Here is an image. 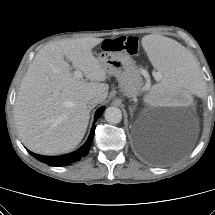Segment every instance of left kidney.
<instances>
[{"instance_id": "1", "label": "left kidney", "mask_w": 215, "mask_h": 215, "mask_svg": "<svg viewBox=\"0 0 215 215\" xmlns=\"http://www.w3.org/2000/svg\"><path fill=\"white\" fill-rule=\"evenodd\" d=\"M144 102L148 106H156L161 105L165 106L167 104L171 106H179V107H187L190 108L194 104L193 95L191 93H171L157 95L156 93H150L148 96L145 97Z\"/></svg>"}]
</instances>
